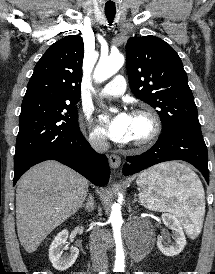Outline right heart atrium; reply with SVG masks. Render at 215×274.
Here are the masks:
<instances>
[{
  "label": "right heart atrium",
  "instance_id": "d8ad5b80",
  "mask_svg": "<svg viewBox=\"0 0 215 274\" xmlns=\"http://www.w3.org/2000/svg\"><path fill=\"white\" fill-rule=\"evenodd\" d=\"M87 127L89 144L96 150H104L107 147V140L103 130L92 125L89 119H87Z\"/></svg>",
  "mask_w": 215,
  "mask_h": 274
}]
</instances>
